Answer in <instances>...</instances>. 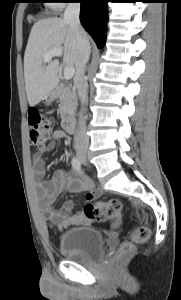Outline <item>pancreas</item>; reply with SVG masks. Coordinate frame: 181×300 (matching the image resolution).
<instances>
[{"label": "pancreas", "mask_w": 181, "mask_h": 300, "mask_svg": "<svg viewBox=\"0 0 181 300\" xmlns=\"http://www.w3.org/2000/svg\"><path fill=\"white\" fill-rule=\"evenodd\" d=\"M57 96L60 101L61 117L64 119L67 115H72L77 104L75 89L71 86H60L57 90Z\"/></svg>", "instance_id": "1"}]
</instances>
